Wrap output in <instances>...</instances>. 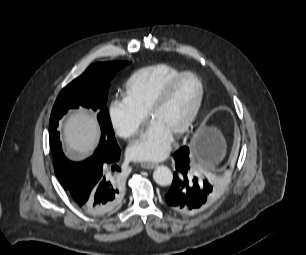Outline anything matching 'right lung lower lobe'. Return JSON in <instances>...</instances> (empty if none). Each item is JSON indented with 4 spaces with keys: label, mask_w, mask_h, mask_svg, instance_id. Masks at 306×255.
Segmentation results:
<instances>
[{
    "label": "right lung lower lobe",
    "mask_w": 306,
    "mask_h": 255,
    "mask_svg": "<svg viewBox=\"0 0 306 255\" xmlns=\"http://www.w3.org/2000/svg\"><path fill=\"white\" fill-rule=\"evenodd\" d=\"M120 157L117 144L104 146L82 162L68 161L66 178L61 182L71 198L90 214L102 215L112 211L122 198ZM113 175L109 173V168Z\"/></svg>",
    "instance_id": "98d812e1"
}]
</instances>
